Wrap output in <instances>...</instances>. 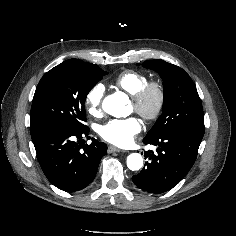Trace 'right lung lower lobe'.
Here are the masks:
<instances>
[{
    "instance_id": "1",
    "label": "right lung lower lobe",
    "mask_w": 236,
    "mask_h": 236,
    "mask_svg": "<svg viewBox=\"0 0 236 236\" xmlns=\"http://www.w3.org/2000/svg\"><path fill=\"white\" fill-rule=\"evenodd\" d=\"M30 131L39 164L53 185L66 192H75L93 181L101 158L107 154V146L94 138L89 145L78 144L88 135L87 126L70 130L42 125L31 127Z\"/></svg>"
}]
</instances>
